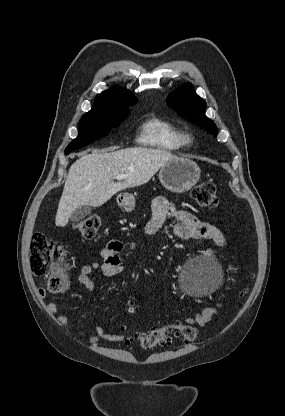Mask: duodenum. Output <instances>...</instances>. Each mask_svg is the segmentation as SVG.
<instances>
[{
  "label": "duodenum",
  "mask_w": 285,
  "mask_h": 416,
  "mask_svg": "<svg viewBox=\"0 0 285 416\" xmlns=\"http://www.w3.org/2000/svg\"><path fill=\"white\" fill-rule=\"evenodd\" d=\"M120 200H121L122 202H127V201L129 200V195H128L127 193H122V194L120 195Z\"/></svg>",
  "instance_id": "obj_1"
}]
</instances>
